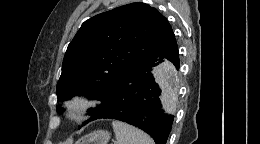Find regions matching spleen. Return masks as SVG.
Segmentation results:
<instances>
[{
    "label": "spleen",
    "mask_w": 260,
    "mask_h": 144,
    "mask_svg": "<svg viewBox=\"0 0 260 144\" xmlns=\"http://www.w3.org/2000/svg\"><path fill=\"white\" fill-rule=\"evenodd\" d=\"M112 127L117 144H154L143 131L121 121H113Z\"/></svg>",
    "instance_id": "spleen-1"
}]
</instances>
